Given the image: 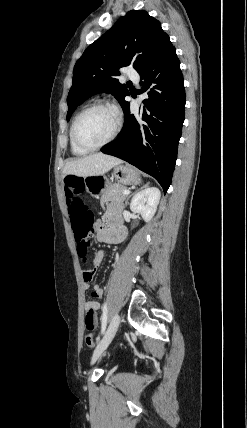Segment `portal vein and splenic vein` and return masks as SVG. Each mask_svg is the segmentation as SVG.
Instances as JSON below:
<instances>
[{"mask_svg":"<svg viewBox=\"0 0 247 428\" xmlns=\"http://www.w3.org/2000/svg\"><path fill=\"white\" fill-rule=\"evenodd\" d=\"M129 193H130V191H129V190H127V189L123 191V194H124V195H128Z\"/></svg>","mask_w":247,"mask_h":428,"instance_id":"1","label":"portal vein and splenic vein"}]
</instances>
